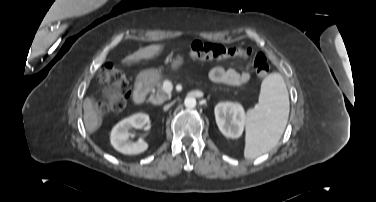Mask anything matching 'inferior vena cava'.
<instances>
[{
  "label": "inferior vena cava",
  "instance_id": "inferior-vena-cava-1",
  "mask_svg": "<svg viewBox=\"0 0 376 202\" xmlns=\"http://www.w3.org/2000/svg\"><path fill=\"white\" fill-rule=\"evenodd\" d=\"M169 106H165L164 109L166 110Z\"/></svg>",
  "mask_w": 376,
  "mask_h": 202
}]
</instances>
